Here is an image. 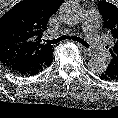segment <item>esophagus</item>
Listing matches in <instances>:
<instances>
[{
	"instance_id": "1",
	"label": "esophagus",
	"mask_w": 118,
	"mask_h": 118,
	"mask_svg": "<svg viewBox=\"0 0 118 118\" xmlns=\"http://www.w3.org/2000/svg\"><path fill=\"white\" fill-rule=\"evenodd\" d=\"M80 46V49L82 50L83 53H85L86 55H89V56H93V52L88 49L87 47L85 46H82L80 44H78Z\"/></svg>"
}]
</instances>
